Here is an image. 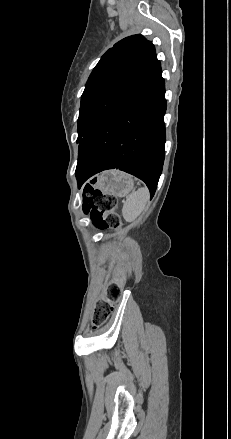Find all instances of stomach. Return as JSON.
<instances>
[{"label":"stomach","instance_id":"1","mask_svg":"<svg viewBox=\"0 0 231 439\" xmlns=\"http://www.w3.org/2000/svg\"><path fill=\"white\" fill-rule=\"evenodd\" d=\"M133 179L126 173L111 170L101 173L95 179V186L103 193L124 197L133 189Z\"/></svg>","mask_w":231,"mask_h":439}]
</instances>
